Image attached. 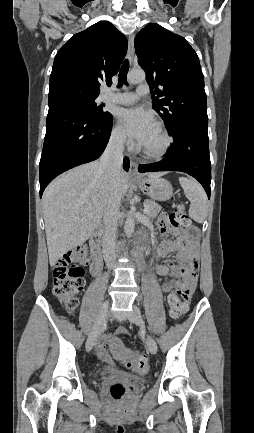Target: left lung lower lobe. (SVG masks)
Instances as JSON below:
<instances>
[{
  "instance_id": "0a47b994",
  "label": "left lung lower lobe",
  "mask_w": 254,
  "mask_h": 433,
  "mask_svg": "<svg viewBox=\"0 0 254 433\" xmlns=\"http://www.w3.org/2000/svg\"><path fill=\"white\" fill-rule=\"evenodd\" d=\"M173 146L165 159L139 165V172L181 171L197 179L210 198L211 162L207 126L188 124L173 134Z\"/></svg>"
}]
</instances>
